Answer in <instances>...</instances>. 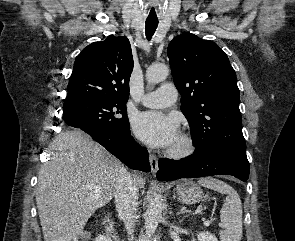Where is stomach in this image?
Segmentation results:
<instances>
[{
	"label": "stomach",
	"mask_w": 295,
	"mask_h": 241,
	"mask_svg": "<svg viewBox=\"0 0 295 241\" xmlns=\"http://www.w3.org/2000/svg\"><path fill=\"white\" fill-rule=\"evenodd\" d=\"M174 195L185 204H195L207 198L203 190L192 181H181L173 189Z\"/></svg>",
	"instance_id": "stomach-1"
}]
</instances>
